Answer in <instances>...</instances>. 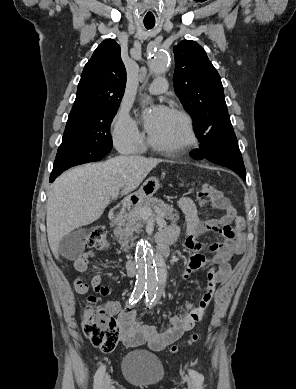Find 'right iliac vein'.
Here are the masks:
<instances>
[{
  "label": "right iliac vein",
  "mask_w": 296,
  "mask_h": 389,
  "mask_svg": "<svg viewBox=\"0 0 296 389\" xmlns=\"http://www.w3.org/2000/svg\"><path fill=\"white\" fill-rule=\"evenodd\" d=\"M110 385H111V379L109 376H106L101 384L100 389H110Z\"/></svg>",
  "instance_id": "obj_1"
}]
</instances>
